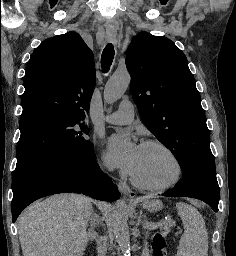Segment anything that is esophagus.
<instances>
[{
  "instance_id": "34e87169",
  "label": "esophagus",
  "mask_w": 236,
  "mask_h": 256,
  "mask_svg": "<svg viewBox=\"0 0 236 256\" xmlns=\"http://www.w3.org/2000/svg\"><path fill=\"white\" fill-rule=\"evenodd\" d=\"M111 40L115 39V35L110 36ZM119 191L124 195L128 196L129 198H134L136 196V193L130 189L128 184H126L124 181H120L118 183Z\"/></svg>"
}]
</instances>
